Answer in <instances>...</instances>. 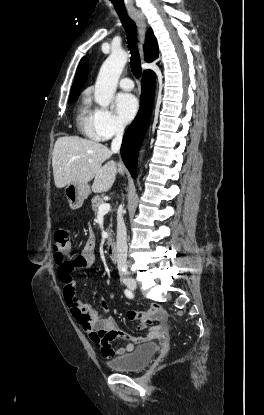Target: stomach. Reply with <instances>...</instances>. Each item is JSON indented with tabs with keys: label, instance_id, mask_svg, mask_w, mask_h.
<instances>
[{
	"label": "stomach",
	"instance_id": "0dacf381",
	"mask_svg": "<svg viewBox=\"0 0 264 415\" xmlns=\"http://www.w3.org/2000/svg\"><path fill=\"white\" fill-rule=\"evenodd\" d=\"M91 190L88 184L70 183L64 189L68 204L72 210L79 209Z\"/></svg>",
	"mask_w": 264,
	"mask_h": 415
}]
</instances>
